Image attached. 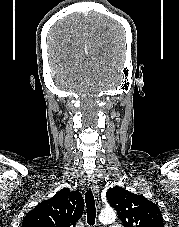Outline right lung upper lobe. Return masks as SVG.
Instances as JSON below:
<instances>
[{"instance_id":"obj_1","label":"right lung upper lobe","mask_w":179,"mask_h":227,"mask_svg":"<svg viewBox=\"0 0 179 227\" xmlns=\"http://www.w3.org/2000/svg\"><path fill=\"white\" fill-rule=\"evenodd\" d=\"M83 210L80 192L64 188L28 212L21 227H75Z\"/></svg>"}]
</instances>
